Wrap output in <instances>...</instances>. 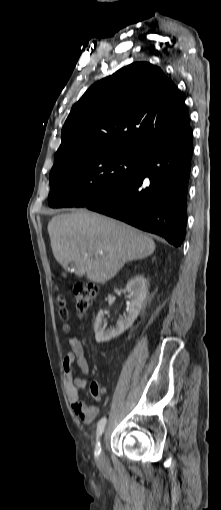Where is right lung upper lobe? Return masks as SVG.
Returning <instances> with one entry per match:
<instances>
[{
    "label": "right lung upper lobe",
    "mask_w": 221,
    "mask_h": 510,
    "mask_svg": "<svg viewBox=\"0 0 221 510\" xmlns=\"http://www.w3.org/2000/svg\"><path fill=\"white\" fill-rule=\"evenodd\" d=\"M175 84L150 63L130 64L92 85L62 128L55 163L104 147H136L189 129Z\"/></svg>",
    "instance_id": "obj_1"
}]
</instances>
